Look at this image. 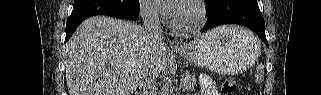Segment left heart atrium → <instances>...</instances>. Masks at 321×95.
<instances>
[{
    "mask_svg": "<svg viewBox=\"0 0 321 95\" xmlns=\"http://www.w3.org/2000/svg\"><path fill=\"white\" fill-rule=\"evenodd\" d=\"M155 2L159 5L161 11L170 17L176 16L183 8L182 4L184 3V1L180 0H155Z\"/></svg>",
    "mask_w": 321,
    "mask_h": 95,
    "instance_id": "39dd6f15",
    "label": "left heart atrium"
}]
</instances>
